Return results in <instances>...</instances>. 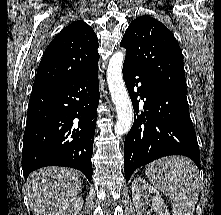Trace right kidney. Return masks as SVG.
Segmentation results:
<instances>
[{
    "mask_svg": "<svg viewBox=\"0 0 221 215\" xmlns=\"http://www.w3.org/2000/svg\"><path fill=\"white\" fill-rule=\"evenodd\" d=\"M82 197L70 199L55 215H78L83 206Z\"/></svg>",
    "mask_w": 221,
    "mask_h": 215,
    "instance_id": "1",
    "label": "right kidney"
}]
</instances>
